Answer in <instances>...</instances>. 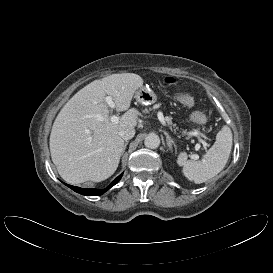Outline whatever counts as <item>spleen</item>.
Segmentation results:
<instances>
[{
	"label": "spleen",
	"mask_w": 273,
	"mask_h": 273,
	"mask_svg": "<svg viewBox=\"0 0 273 273\" xmlns=\"http://www.w3.org/2000/svg\"><path fill=\"white\" fill-rule=\"evenodd\" d=\"M231 148L232 132L228 126H223L216 135L215 143L201 161L187 160V153L181 152L177 163L183 167V173L188 180L200 184L213 178L224 169Z\"/></svg>",
	"instance_id": "spleen-1"
}]
</instances>
